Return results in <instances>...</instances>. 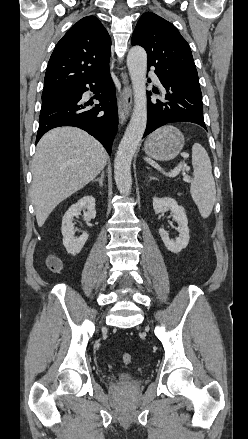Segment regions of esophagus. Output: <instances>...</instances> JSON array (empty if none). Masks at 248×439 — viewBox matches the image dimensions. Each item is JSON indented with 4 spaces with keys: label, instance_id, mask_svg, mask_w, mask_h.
Instances as JSON below:
<instances>
[{
    "label": "esophagus",
    "instance_id": "1",
    "mask_svg": "<svg viewBox=\"0 0 248 439\" xmlns=\"http://www.w3.org/2000/svg\"><path fill=\"white\" fill-rule=\"evenodd\" d=\"M133 103L132 89L130 85L125 84L122 89V95L118 101V111L120 123L123 125L127 121Z\"/></svg>",
    "mask_w": 248,
    "mask_h": 439
}]
</instances>
